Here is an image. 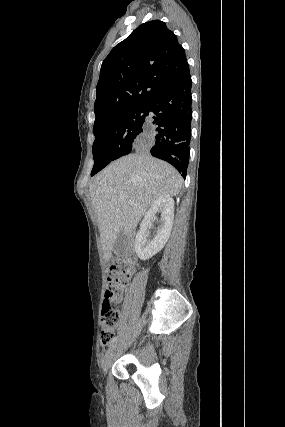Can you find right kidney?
<instances>
[{"label": "right kidney", "instance_id": "right-kidney-1", "mask_svg": "<svg viewBox=\"0 0 285 427\" xmlns=\"http://www.w3.org/2000/svg\"><path fill=\"white\" fill-rule=\"evenodd\" d=\"M157 212L161 213L157 234L153 240H148V228L156 219ZM173 219L174 200L171 196L159 197L152 203L144 216L134 243L135 252L141 260L151 258L165 246L171 234Z\"/></svg>", "mask_w": 285, "mask_h": 427}]
</instances>
